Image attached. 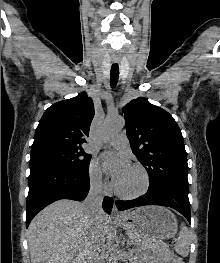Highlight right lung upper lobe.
<instances>
[{"mask_svg":"<svg viewBox=\"0 0 220 263\" xmlns=\"http://www.w3.org/2000/svg\"><path fill=\"white\" fill-rule=\"evenodd\" d=\"M94 105L85 92L50 106L39 121L31 153L81 147L89 136Z\"/></svg>","mask_w":220,"mask_h":263,"instance_id":"obj_1","label":"right lung upper lobe"}]
</instances>
